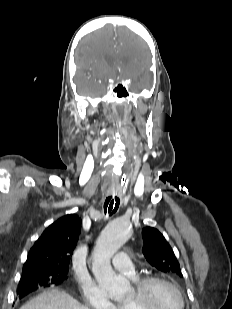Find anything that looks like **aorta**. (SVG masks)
<instances>
[{
	"label": "aorta",
	"mask_w": 232,
	"mask_h": 309,
	"mask_svg": "<svg viewBox=\"0 0 232 309\" xmlns=\"http://www.w3.org/2000/svg\"><path fill=\"white\" fill-rule=\"evenodd\" d=\"M130 226L121 219L112 220L101 232L93 250L92 271L108 296L119 301L130 289L129 281L115 274L110 260L130 237Z\"/></svg>",
	"instance_id": "obj_1"
}]
</instances>
